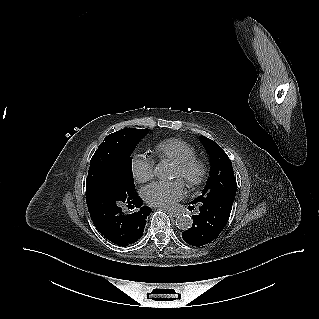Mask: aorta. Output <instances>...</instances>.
<instances>
[{
    "instance_id": "obj_1",
    "label": "aorta",
    "mask_w": 319,
    "mask_h": 319,
    "mask_svg": "<svg viewBox=\"0 0 319 319\" xmlns=\"http://www.w3.org/2000/svg\"><path fill=\"white\" fill-rule=\"evenodd\" d=\"M154 174L159 179H163L166 177L165 170L161 165L156 166L154 170ZM193 221L189 214L182 213L179 214L176 218V226L181 230H187L192 227Z\"/></svg>"
}]
</instances>
